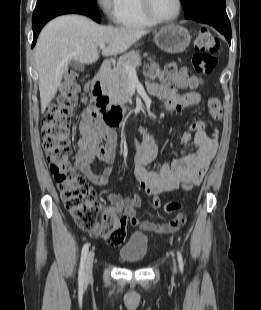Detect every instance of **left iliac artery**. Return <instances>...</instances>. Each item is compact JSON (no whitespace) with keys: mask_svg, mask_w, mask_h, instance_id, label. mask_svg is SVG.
Instances as JSON below:
<instances>
[{"mask_svg":"<svg viewBox=\"0 0 261 310\" xmlns=\"http://www.w3.org/2000/svg\"><path fill=\"white\" fill-rule=\"evenodd\" d=\"M177 257H178L180 271L183 272L184 263H183V258H182L180 251L177 252Z\"/></svg>","mask_w":261,"mask_h":310,"instance_id":"1","label":"left iliac artery"}]
</instances>
